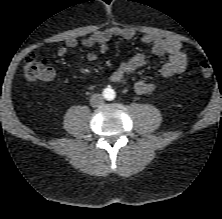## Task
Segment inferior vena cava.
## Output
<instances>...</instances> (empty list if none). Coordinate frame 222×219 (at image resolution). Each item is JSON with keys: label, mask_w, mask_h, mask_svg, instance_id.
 Masks as SVG:
<instances>
[{"label": "inferior vena cava", "mask_w": 222, "mask_h": 219, "mask_svg": "<svg viewBox=\"0 0 222 219\" xmlns=\"http://www.w3.org/2000/svg\"><path fill=\"white\" fill-rule=\"evenodd\" d=\"M104 102L103 97L100 94H93L90 99V104L93 107L102 105Z\"/></svg>", "instance_id": "obj_1"}]
</instances>
